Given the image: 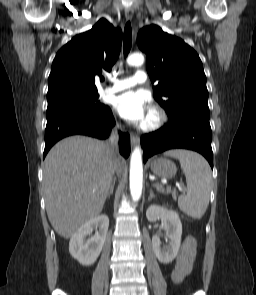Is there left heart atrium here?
<instances>
[{
	"instance_id": "1",
	"label": "left heart atrium",
	"mask_w": 256,
	"mask_h": 295,
	"mask_svg": "<svg viewBox=\"0 0 256 295\" xmlns=\"http://www.w3.org/2000/svg\"><path fill=\"white\" fill-rule=\"evenodd\" d=\"M114 108L124 119L132 123L144 124L149 117L147 99L140 92L128 91L117 96Z\"/></svg>"
}]
</instances>
